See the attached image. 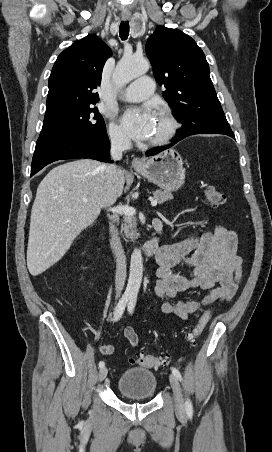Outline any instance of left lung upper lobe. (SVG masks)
I'll return each mask as SVG.
<instances>
[{"mask_svg": "<svg viewBox=\"0 0 272 452\" xmlns=\"http://www.w3.org/2000/svg\"><path fill=\"white\" fill-rule=\"evenodd\" d=\"M146 53L163 97L183 123L182 129L222 133L231 128L210 79L202 49L178 29L157 26L146 43Z\"/></svg>", "mask_w": 272, "mask_h": 452, "instance_id": "left-lung-upper-lobe-1", "label": "left lung upper lobe"}]
</instances>
